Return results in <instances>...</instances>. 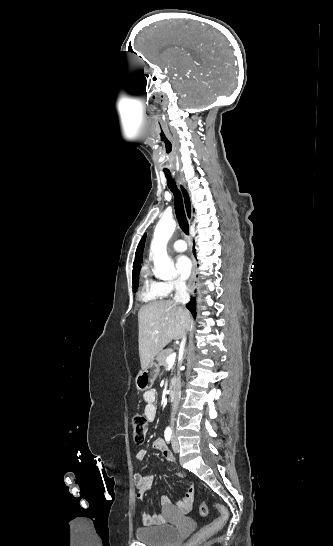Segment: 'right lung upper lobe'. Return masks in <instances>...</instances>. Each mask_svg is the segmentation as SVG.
<instances>
[{
	"mask_svg": "<svg viewBox=\"0 0 333 546\" xmlns=\"http://www.w3.org/2000/svg\"><path fill=\"white\" fill-rule=\"evenodd\" d=\"M145 239H146V234L142 237L140 243L138 244L136 254H135L134 263L138 265V271L140 270L139 263L142 261V254H143ZM134 282H135V280L133 278V284H134Z\"/></svg>",
	"mask_w": 333,
	"mask_h": 546,
	"instance_id": "obj_1",
	"label": "right lung upper lobe"
}]
</instances>
